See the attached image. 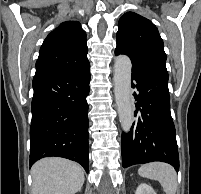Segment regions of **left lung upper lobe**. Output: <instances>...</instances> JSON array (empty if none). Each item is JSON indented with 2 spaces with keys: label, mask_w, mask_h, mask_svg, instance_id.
<instances>
[{
  "label": "left lung upper lobe",
  "mask_w": 201,
  "mask_h": 194,
  "mask_svg": "<svg viewBox=\"0 0 201 194\" xmlns=\"http://www.w3.org/2000/svg\"><path fill=\"white\" fill-rule=\"evenodd\" d=\"M115 51L130 57L133 66L153 67L168 74L163 40L147 18L127 12L119 20Z\"/></svg>",
  "instance_id": "left-lung-upper-lobe-1"
}]
</instances>
